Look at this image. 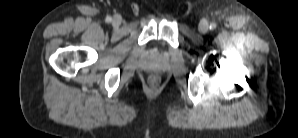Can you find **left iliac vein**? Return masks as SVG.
Returning a JSON list of instances; mask_svg holds the SVG:
<instances>
[{"label": "left iliac vein", "instance_id": "obj_1", "mask_svg": "<svg viewBox=\"0 0 298 138\" xmlns=\"http://www.w3.org/2000/svg\"><path fill=\"white\" fill-rule=\"evenodd\" d=\"M208 29H209L208 22L206 20H202L199 23V30H200V32L206 33L208 31Z\"/></svg>", "mask_w": 298, "mask_h": 138}]
</instances>
